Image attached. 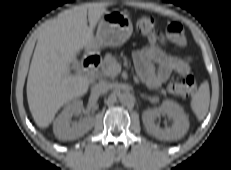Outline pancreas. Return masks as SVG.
I'll return each mask as SVG.
<instances>
[{
    "instance_id": "cf45deb5",
    "label": "pancreas",
    "mask_w": 231,
    "mask_h": 170,
    "mask_svg": "<svg viewBox=\"0 0 231 170\" xmlns=\"http://www.w3.org/2000/svg\"><path fill=\"white\" fill-rule=\"evenodd\" d=\"M114 64H119L117 59L111 54H106L103 60V65L101 68V73L103 76L114 78L116 75L113 74L111 66ZM161 94H166L165 90H161Z\"/></svg>"
}]
</instances>
